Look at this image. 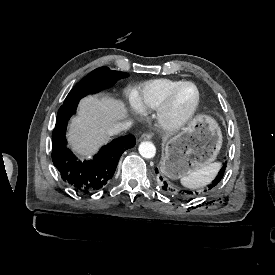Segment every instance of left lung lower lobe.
Here are the masks:
<instances>
[{"mask_svg":"<svg viewBox=\"0 0 275 275\" xmlns=\"http://www.w3.org/2000/svg\"><path fill=\"white\" fill-rule=\"evenodd\" d=\"M225 166H226V164H224V166H223L222 169L219 171L218 175H217L216 178L213 180V182L205 188L204 192H207V191L212 190V189L221 181L222 177L224 176ZM155 173H156V175L158 176V177H157V182H158V184L160 185V187L162 188V190L165 191V192H170V191H172V190L170 189L168 183H167L161 176L158 175L159 173H158V169H157V168L155 169ZM187 193L189 194V192H187ZM190 194H193V193L190 192ZM197 194H198V193H197Z\"/></svg>","mask_w":275,"mask_h":275,"instance_id":"obj_1","label":"left lung lower lobe"}]
</instances>
